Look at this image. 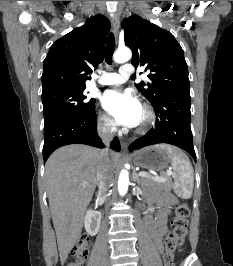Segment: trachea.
I'll use <instances>...</instances> for the list:
<instances>
[{
	"label": "trachea",
	"mask_w": 233,
	"mask_h": 266,
	"mask_svg": "<svg viewBox=\"0 0 233 266\" xmlns=\"http://www.w3.org/2000/svg\"><path fill=\"white\" fill-rule=\"evenodd\" d=\"M115 50V39L112 33L109 34L106 43L105 59L107 64H112V56Z\"/></svg>",
	"instance_id": "1"
}]
</instances>
